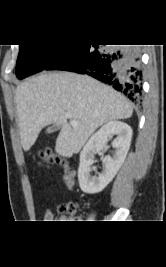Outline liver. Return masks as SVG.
<instances>
[{
  "mask_svg": "<svg viewBox=\"0 0 166 267\" xmlns=\"http://www.w3.org/2000/svg\"><path fill=\"white\" fill-rule=\"evenodd\" d=\"M21 145L30 150L47 125L61 127L55 150L64 157L78 153L106 122L132 116L131 103L112 87L86 75L43 72L21 83L15 94ZM78 122L73 126L65 114Z\"/></svg>",
  "mask_w": 166,
  "mask_h": 267,
  "instance_id": "liver-1",
  "label": "liver"
}]
</instances>
